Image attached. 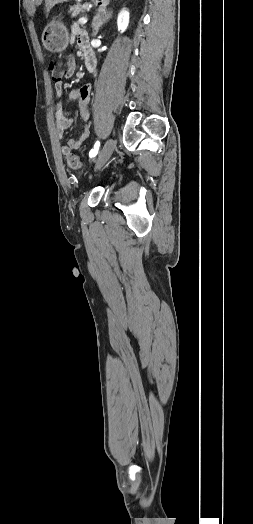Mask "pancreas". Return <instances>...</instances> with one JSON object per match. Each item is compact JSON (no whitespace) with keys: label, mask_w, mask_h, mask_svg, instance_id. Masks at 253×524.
Returning <instances> with one entry per match:
<instances>
[{"label":"pancreas","mask_w":253,"mask_h":524,"mask_svg":"<svg viewBox=\"0 0 253 524\" xmlns=\"http://www.w3.org/2000/svg\"><path fill=\"white\" fill-rule=\"evenodd\" d=\"M86 9H88L87 3H77L75 5H72L69 9V13H71L72 17H76L77 15L83 13Z\"/></svg>","instance_id":"1"}]
</instances>
